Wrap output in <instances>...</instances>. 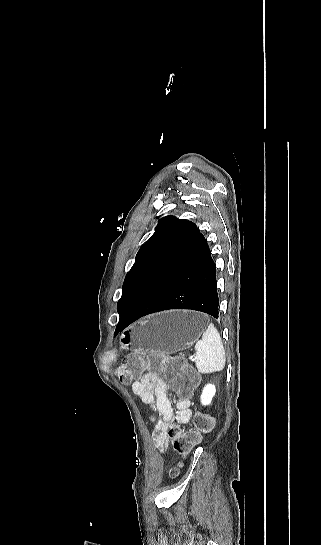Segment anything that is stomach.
Listing matches in <instances>:
<instances>
[{"label":"stomach","instance_id":"stomach-1","mask_svg":"<svg viewBox=\"0 0 321 545\" xmlns=\"http://www.w3.org/2000/svg\"><path fill=\"white\" fill-rule=\"evenodd\" d=\"M207 327V317L195 311H164L136 321L120 335V349L133 353L164 351L166 355L192 347Z\"/></svg>","mask_w":321,"mask_h":545}]
</instances>
